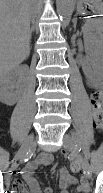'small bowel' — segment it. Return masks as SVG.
I'll use <instances>...</instances> for the list:
<instances>
[{
	"label": "small bowel",
	"instance_id": "c3829d8e",
	"mask_svg": "<svg viewBox=\"0 0 103 193\" xmlns=\"http://www.w3.org/2000/svg\"><path fill=\"white\" fill-rule=\"evenodd\" d=\"M53 157L49 153L40 154L35 160L28 162L21 173L23 181L27 184L30 193H43L38 182L33 176L34 170L40 165H49L52 163ZM59 184L62 188L61 193H70L73 186H76L77 193H88L89 184L86 176H83L80 180L70 176L66 169L62 168L59 170ZM23 187L20 180H15L13 183V191L16 193L17 188ZM24 188V187H23ZM25 193H27L25 191ZM44 193H54L51 188L45 189Z\"/></svg>",
	"mask_w": 103,
	"mask_h": 193
}]
</instances>
